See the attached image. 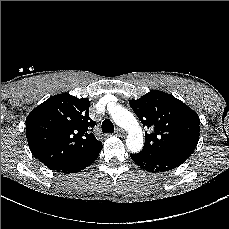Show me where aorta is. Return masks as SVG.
I'll return each instance as SVG.
<instances>
[{
	"label": "aorta",
	"instance_id": "1",
	"mask_svg": "<svg viewBox=\"0 0 229 229\" xmlns=\"http://www.w3.org/2000/svg\"><path fill=\"white\" fill-rule=\"evenodd\" d=\"M110 114L113 121L120 127L128 131L126 139L127 148L132 153H137L143 147V134L134 115L120 105H112Z\"/></svg>",
	"mask_w": 229,
	"mask_h": 229
}]
</instances>
